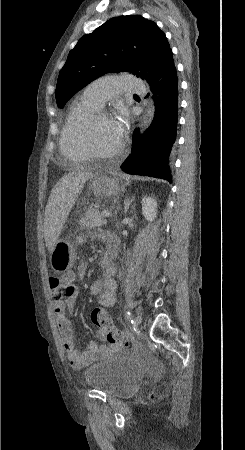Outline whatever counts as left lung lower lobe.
Returning a JSON list of instances; mask_svg holds the SVG:
<instances>
[{
	"label": "left lung lower lobe",
	"instance_id": "obj_1",
	"mask_svg": "<svg viewBox=\"0 0 245 450\" xmlns=\"http://www.w3.org/2000/svg\"><path fill=\"white\" fill-rule=\"evenodd\" d=\"M147 82L154 96L155 117L142 136L139 129L134 131L131 154L121 168L128 174L162 178L171 183L168 157L178 117V80L173 58Z\"/></svg>",
	"mask_w": 245,
	"mask_h": 450
}]
</instances>
